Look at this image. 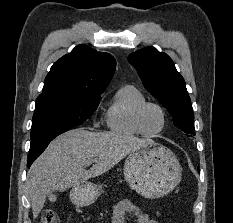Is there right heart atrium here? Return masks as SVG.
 <instances>
[{"mask_svg":"<svg viewBox=\"0 0 233 223\" xmlns=\"http://www.w3.org/2000/svg\"><path fill=\"white\" fill-rule=\"evenodd\" d=\"M94 125H95L96 127H98V126H99V121H98V120H95Z\"/></svg>","mask_w":233,"mask_h":223,"instance_id":"right-heart-atrium-1","label":"right heart atrium"}]
</instances>
